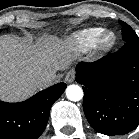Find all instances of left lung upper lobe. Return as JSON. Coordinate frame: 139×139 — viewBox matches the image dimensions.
I'll use <instances>...</instances> for the list:
<instances>
[{
  "label": "left lung upper lobe",
  "mask_w": 139,
  "mask_h": 139,
  "mask_svg": "<svg viewBox=\"0 0 139 139\" xmlns=\"http://www.w3.org/2000/svg\"><path fill=\"white\" fill-rule=\"evenodd\" d=\"M120 24L122 25L123 40L125 42L131 40H139V37L136 35L134 30L128 24H126L123 21H120Z\"/></svg>",
  "instance_id": "1"
}]
</instances>
